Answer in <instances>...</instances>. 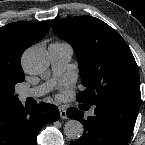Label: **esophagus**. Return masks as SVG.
Masks as SVG:
<instances>
[{
	"label": "esophagus",
	"instance_id": "esophagus-1",
	"mask_svg": "<svg viewBox=\"0 0 145 145\" xmlns=\"http://www.w3.org/2000/svg\"><path fill=\"white\" fill-rule=\"evenodd\" d=\"M59 111H60V117L62 119H66L67 118L66 109L64 107H59Z\"/></svg>",
	"mask_w": 145,
	"mask_h": 145
}]
</instances>
